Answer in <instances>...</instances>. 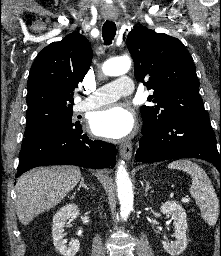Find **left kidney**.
Returning a JSON list of instances; mask_svg holds the SVG:
<instances>
[{
    "instance_id": "left-kidney-1",
    "label": "left kidney",
    "mask_w": 221,
    "mask_h": 256,
    "mask_svg": "<svg viewBox=\"0 0 221 256\" xmlns=\"http://www.w3.org/2000/svg\"><path fill=\"white\" fill-rule=\"evenodd\" d=\"M161 212L172 215L175 227L174 237L176 238V241L171 243L162 241L163 248L171 256L180 255L188 243L186 237L187 221L185 210L175 201H167L161 205Z\"/></svg>"
}]
</instances>
